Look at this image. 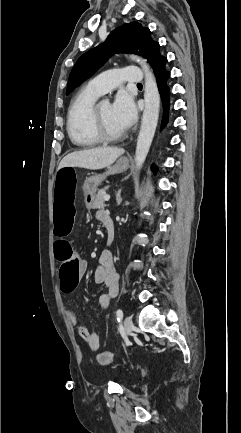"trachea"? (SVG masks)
Segmentation results:
<instances>
[{
  "mask_svg": "<svg viewBox=\"0 0 241 433\" xmlns=\"http://www.w3.org/2000/svg\"><path fill=\"white\" fill-rule=\"evenodd\" d=\"M137 85H142L141 83H138Z\"/></svg>",
  "mask_w": 241,
  "mask_h": 433,
  "instance_id": "3493384b",
  "label": "trachea"
}]
</instances>
